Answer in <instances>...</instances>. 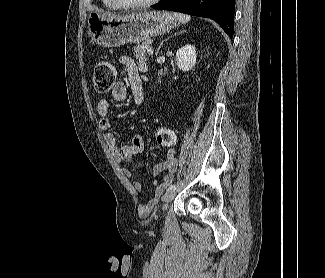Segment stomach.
Listing matches in <instances>:
<instances>
[{"label":"stomach","instance_id":"obj_1","mask_svg":"<svg viewBox=\"0 0 325 278\" xmlns=\"http://www.w3.org/2000/svg\"><path fill=\"white\" fill-rule=\"evenodd\" d=\"M177 18L165 11H143L126 16L91 13L88 32L93 42L102 47L140 43L149 37L170 31Z\"/></svg>","mask_w":325,"mask_h":278}]
</instances>
